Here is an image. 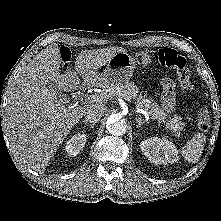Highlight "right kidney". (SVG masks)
Returning <instances> with one entry per match:
<instances>
[{
	"instance_id": "obj_1",
	"label": "right kidney",
	"mask_w": 221,
	"mask_h": 221,
	"mask_svg": "<svg viewBox=\"0 0 221 221\" xmlns=\"http://www.w3.org/2000/svg\"><path fill=\"white\" fill-rule=\"evenodd\" d=\"M86 134H75L65 143V151L68 156H76L83 150L86 143Z\"/></svg>"
}]
</instances>
